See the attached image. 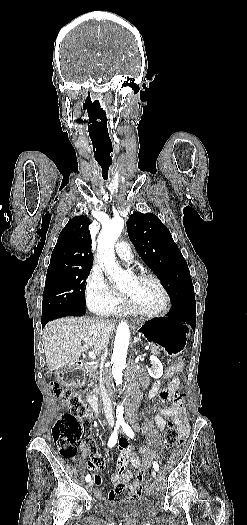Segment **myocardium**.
Instances as JSON below:
<instances>
[{
    "label": "myocardium",
    "instance_id": "obj_1",
    "mask_svg": "<svg viewBox=\"0 0 247 525\" xmlns=\"http://www.w3.org/2000/svg\"><path fill=\"white\" fill-rule=\"evenodd\" d=\"M130 267H132V263H129ZM150 278L152 280H154V282L156 283V285L159 287V289L162 291L163 295H164V303L161 307L159 308H156V309H152V308H148L144 303H142L140 300L136 299V303L138 304L139 306V309H140V312L143 314V315H148V316H158V315H161L163 313H166L169 308H170V305H171V298H170V295L166 289V287L163 285L162 281L159 279V277L151 272V271H142L139 275H138V278Z\"/></svg>",
    "mask_w": 247,
    "mask_h": 525
}]
</instances>
